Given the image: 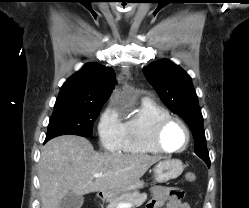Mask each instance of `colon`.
Returning <instances> with one entry per match:
<instances>
[{"mask_svg":"<svg viewBox=\"0 0 249 208\" xmlns=\"http://www.w3.org/2000/svg\"><path fill=\"white\" fill-rule=\"evenodd\" d=\"M195 180H196V175H195L194 173H188V174L186 175V181H187V182L192 183V182H194Z\"/></svg>","mask_w":249,"mask_h":208,"instance_id":"5ec220e1","label":"colon"}]
</instances>
